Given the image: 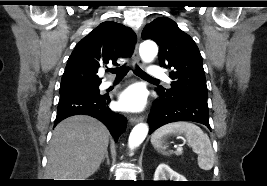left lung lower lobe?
<instances>
[{
	"mask_svg": "<svg viewBox=\"0 0 267 186\" xmlns=\"http://www.w3.org/2000/svg\"><path fill=\"white\" fill-rule=\"evenodd\" d=\"M159 96L154 102L153 113L148 118L149 134L165 124L177 121L197 122L211 129L207 100L179 94Z\"/></svg>",
	"mask_w": 267,
	"mask_h": 186,
	"instance_id": "1",
	"label": "left lung lower lobe"
}]
</instances>
